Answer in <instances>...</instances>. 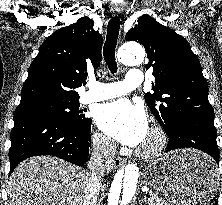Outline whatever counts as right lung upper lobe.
<instances>
[{
	"label": "right lung upper lobe",
	"instance_id": "cb5924a9",
	"mask_svg": "<svg viewBox=\"0 0 222 205\" xmlns=\"http://www.w3.org/2000/svg\"><path fill=\"white\" fill-rule=\"evenodd\" d=\"M93 26L85 16L44 41L30 65L15 113L51 101H79L75 89L86 83L87 69H97L101 62L102 35Z\"/></svg>",
	"mask_w": 222,
	"mask_h": 205
}]
</instances>
